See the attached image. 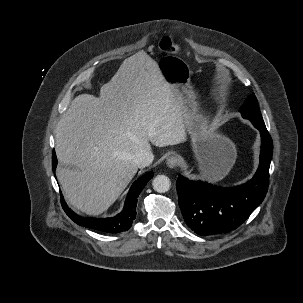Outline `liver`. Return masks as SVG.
I'll use <instances>...</instances> for the list:
<instances>
[{"label":"liver","mask_w":303,"mask_h":303,"mask_svg":"<svg viewBox=\"0 0 303 303\" xmlns=\"http://www.w3.org/2000/svg\"><path fill=\"white\" fill-rule=\"evenodd\" d=\"M187 113L155 62L141 50L126 58L100 97L73 99L55 129L57 177L67 201L98 215L137 173L133 156L151 145L186 141Z\"/></svg>","instance_id":"liver-1"}]
</instances>
